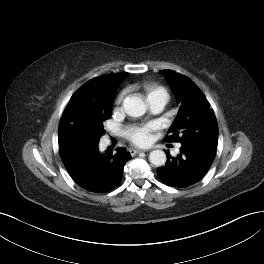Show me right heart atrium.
I'll return each instance as SVG.
<instances>
[{
  "instance_id": "1",
  "label": "right heart atrium",
  "mask_w": 264,
  "mask_h": 264,
  "mask_svg": "<svg viewBox=\"0 0 264 264\" xmlns=\"http://www.w3.org/2000/svg\"><path fill=\"white\" fill-rule=\"evenodd\" d=\"M124 96H125L124 92L120 93V95L118 96L117 101H116L117 104H120L123 101Z\"/></svg>"
}]
</instances>
